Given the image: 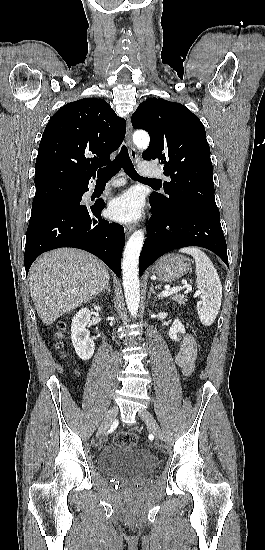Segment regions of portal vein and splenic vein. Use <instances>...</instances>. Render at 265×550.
<instances>
[{
  "label": "portal vein and splenic vein",
  "mask_w": 265,
  "mask_h": 550,
  "mask_svg": "<svg viewBox=\"0 0 265 550\" xmlns=\"http://www.w3.org/2000/svg\"><path fill=\"white\" fill-rule=\"evenodd\" d=\"M183 288H186V290H187L188 292H190V291L192 290V287H191L189 284L185 283L183 287L177 286V287H173V288L166 289V290L162 291V292L160 293V296H161V297H168V296H170V295H173V294L179 292V291H180L181 289H183ZM197 295H199V294H197Z\"/></svg>",
  "instance_id": "obj_1"
}]
</instances>
